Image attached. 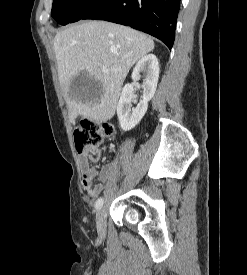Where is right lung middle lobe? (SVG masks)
<instances>
[{"mask_svg": "<svg viewBox=\"0 0 247 275\" xmlns=\"http://www.w3.org/2000/svg\"><path fill=\"white\" fill-rule=\"evenodd\" d=\"M101 0H53L52 17L61 25L79 21Z\"/></svg>", "mask_w": 247, "mask_h": 275, "instance_id": "right-lung-middle-lobe-1", "label": "right lung middle lobe"}]
</instances>
